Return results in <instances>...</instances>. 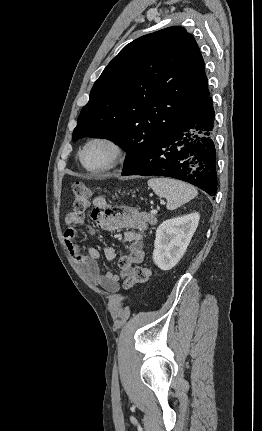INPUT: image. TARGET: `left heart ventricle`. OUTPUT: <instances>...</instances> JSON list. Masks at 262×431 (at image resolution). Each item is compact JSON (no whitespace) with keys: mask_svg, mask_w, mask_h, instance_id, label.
Listing matches in <instances>:
<instances>
[{"mask_svg":"<svg viewBox=\"0 0 262 431\" xmlns=\"http://www.w3.org/2000/svg\"><path fill=\"white\" fill-rule=\"evenodd\" d=\"M111 157V150L105 144L92 145L84 155V163L87 167L96 169L105 166Z\"/></svg>","mask_w":262,"mask_h":431,"instance_id":"1","label":"left heart ventricle"}]
</instances>
